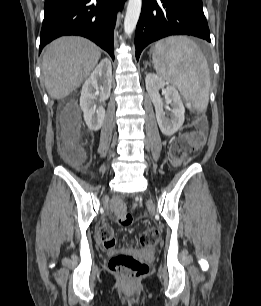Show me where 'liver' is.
Masks as SVG:
<instances>
[{"label":"liver","instance_id":"6515ba94","mask_svg":"<svg viewBox=\"0 0 261 306\" xmlns=\"http://www.w3.org/2000/svg\"><path fill=\"white\" fill-rule=\"evenodd\" d=\"M101 49L82 37H61L43 54L42 73L50 97L61 100L75 91L90 75Z\"/></svg>","mask_w":261,"mask_h":306}]
</instances>
